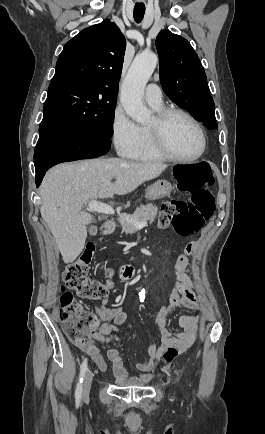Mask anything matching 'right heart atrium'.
I'll return each mask as SVG.
<instances>
[{
  "instance_id": "d8ad5b80",
  "label": "right heart atrium",
  "mask_w": 265,
  "mask_h": 434,
  "mask_svg": "<svg viewBox=\"0 0 265 434\" xmlns=\"http://www.w3.org/2000/svg\"><path fill=\"white\" fill-rule=\"evenodd\" d=\"M116 115L110 117V128L112 132V147L118 148V157L127 159L130 154H134V142L138 141V132H133L136 129V119L129 118L127 108L125 106H116Z\"/></svg>"
}]
</instances>
